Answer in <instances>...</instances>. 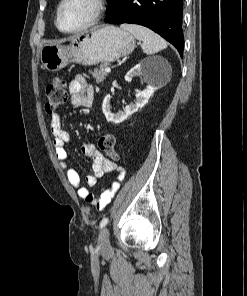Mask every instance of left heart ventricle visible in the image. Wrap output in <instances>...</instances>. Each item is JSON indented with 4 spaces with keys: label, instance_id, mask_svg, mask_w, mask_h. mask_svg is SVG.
Segmentation results:
<instances>
[{
    "label": "left heart ventricle",
    "instance_id": "b2bd125f",
    "mask_svg": "<svg viewBox=\"0 0 247 296\" xmlns=\"http://www.w3.org/2000/svg\"><path fill=\"white\" fill-rule=\"evenodd\" d=\"M93 13L91 0H68L60 13V26L65 30L85 24Z\"/></svg>",
    "mask_w": 247,
    "mask_h": 296
}]
</instances>
